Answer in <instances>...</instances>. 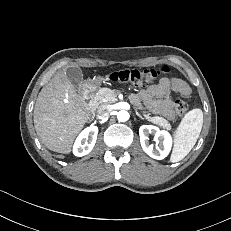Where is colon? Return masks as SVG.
<instances>
[{"label": "colon", "instance_id": "1", "mask_svg": "<svg viewBox=\"0 0 231 231\" xmlns=\"http://www.w3.org/2000/svg\"><path fill=\"white\" fill-rule=\"evenodd\" d=\"M169 72L168 66H162L155 69L132 68L120 70L112 73L111 79L118 82L128 83L136 88H141L152 82L158 76ZM188 106L182 100L175 102V110L179 116H184Z\"/></svg>", "mask_w": 231, "mask_h": 231}]
</instances>
